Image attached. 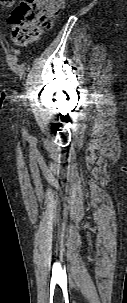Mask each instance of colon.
<instances>
[{"mask_svg":"<svg viewBox=\"0 0 127 303\" xmlns=\"http://www.w3.org/2000/svg\"><path fill=\"white\" fill-rule=\"evenodd\" d=\"M15 0H0L4 6H12ZM65 0H24L17 5L9 22L12 36L17 45L36 41L42 30L52 26L55 15L64 7Z\"/></svg>","mask_w":127,"mask_h":303,"instance_id":"1","label":"colon"}]
</instances>
